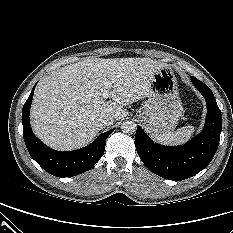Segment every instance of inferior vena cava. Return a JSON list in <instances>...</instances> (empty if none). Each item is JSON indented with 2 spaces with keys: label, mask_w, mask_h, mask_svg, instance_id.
<instances>
[{
  "label": "inferior vena cava",
  "mask_w": 233,
  "mask_h": 233,
  "mask_svg": "<svg viewBox=\"0 0 233 233\" xmlns=\"http://www.w3.org/2000/svg\"><path fill=\"white\" fill-rule=\"evenodd\" d=\"M114 122V118L110 115H100L96 119V126L99 129H103L105 127L110 126Z\"/></svg>",
  "instance_id": "obj_1"
}]
</instances>
